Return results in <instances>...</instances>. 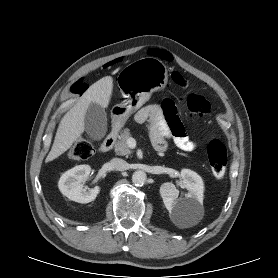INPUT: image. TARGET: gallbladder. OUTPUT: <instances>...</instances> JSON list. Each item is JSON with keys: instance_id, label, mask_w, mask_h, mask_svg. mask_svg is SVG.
Instances as JSON below:
<instances>
[{"instance_id": "bac80fb5", "label": "gallbladder", "mask_w": 278, "mask_h": 278, "mask_svg": "<svg viewBox=\"0 0 278 278\" xmlns=\"http://www.w3.org/2000/svg\"><path fill=\"white\" fill-rule=\"evenodd\" d=\"M84 129L88 137L100 141L107 132V115L105 109L96 103H91L84 118Z\"/></svg>"}]
</instances>
